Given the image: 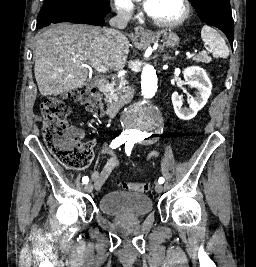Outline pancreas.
I'll return each instance as SVG.
<instances>
[{
	"mask_svg": "<svg viewBox=\"0 0 256 267\" xmlns=\"http://www.w3.org/2000/svg\"><path fill=\"white\" fill-rule=\"evenodd\" d=\"M194 62H204V64H209V62H211V58L210 56H207L206 52H202V54H198V56L194 58ZM125 84L126 82H124V78H115V80H112V90L110 94H108V98H110V100H115L116 98L117 102H112L113 106H118V104H126L130 96H133V88H130V86L125 88ZM122 92H125V94H122ZM106 102H108V100H106Z\"/></svg>",
	"mask_w": 256,
	"mask_h": 267,
	"instance_id": "pancreas-1",
	"label": "pancreas"
}]
</instances>
